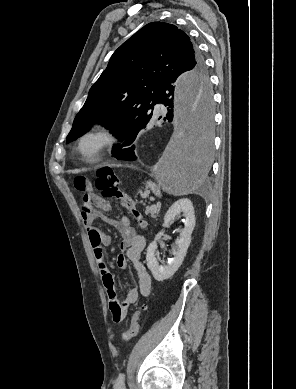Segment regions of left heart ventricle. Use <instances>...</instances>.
I'll use <instances>...</instances> for the list:
<instances>
[{"label": "left heart ventricle", "instance_id": "1", "mask_svg": "<svg viewBox=\"0 0 296 389\" xmlns=\"http://www.w3.org/2000/svg\"><path fill=\"white\" fill-rule=\"evenodd\" d=\"M93 146H94V142H90V143L88 144V148H89V149H91Z\"/></svg>", "mask_w": 296, "mask_h": 389}]
</instances>
